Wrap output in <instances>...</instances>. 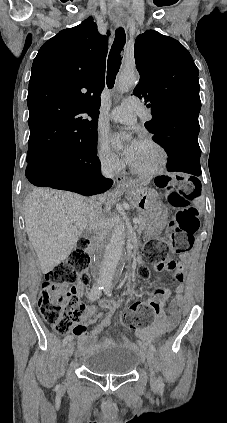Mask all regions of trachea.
I'll return each instance as SVG.
<instances>
[{
  "label": "trachea",
  "mask_w": 227,
  "mask_h": 423,
  "mask_svg": "<svg viewBox=\"0 0 227 423\" xmlns=\"http://www.w3.org/2000/svg\"><path fill=\"white\" fill-rule=\"evenodd\" d=\"M126 42V35L123 28H117L115 31V39L112 44L108 62H107V86L113 88L116 80V75L119 72L121 65V51Z\"/></svg>",
  "instance_id": "obj_1"
}]
</instances>
